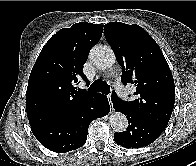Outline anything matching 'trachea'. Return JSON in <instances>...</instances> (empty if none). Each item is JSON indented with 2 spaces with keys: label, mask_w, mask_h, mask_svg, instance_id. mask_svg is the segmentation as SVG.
I'll use <instances>...</instances> for the list:
<instances>
[{
  "label": "trachea",
  "mask_w": 196,
  "mask_h": 166,
  "mask_svg": "<svg viewBox=\"0 0 196 166\" xmlns=\"http://www.w3.org/2000/svg\"><path fill=\"white\" fill-rule=\"evenodd\" d=\"M89 91L108 94L110 91V86L105 81L98 79L91 84V86L89 87Z\"/></svg>",
  "instance_id": "1"
}]
</instances>
